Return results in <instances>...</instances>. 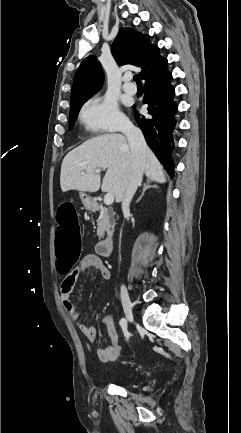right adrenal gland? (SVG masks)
Segmentation results:
<instances>
[{
  "label": "right adrenal gland",
  "mask_w": 241,
  "mask_h": 433,
  "mask_svg": "<svg viewBox=\"0 0 241 433\" xmlns=\"http://www.w3.org/2000/svg\"><path fill=\"white\" fill-rule=\"evenodd\" d=\"M153 180H151L150 178H147L145 183L143 184V191L141 193V196L138 198V200L136 202H139L141 200V198L144 196L146 190H148L149 188H158V186H156L155 184H152Z\"/></svg>",
  "instance_id": "2a0ac1e0"
}]
</instances>
